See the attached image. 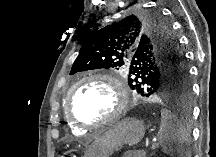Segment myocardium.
Wrapping results in <instances>:
<instances>
[{
	"label": "myocardium",
	"instance_id": "f54148a6",
	"mask_svg": "<svg viewBox=\"0 0 216 157\" xmlns=\"http://www.w3.org/2000/svg\"><path fill=\"white\" fill-rule=\"evenodd\" d=\"M89 81H100L109 85L115 92V106L113 111L99 121L85 122L77 118L72 112V94L81 84ZM129 103L128 91L125 84L116 76L107 73H91L77 80L69 89L66 98V114L69 121L82 128H91L102 125H109L117 121L126 111Z\"/></svg>",
	"mask_w": 216,
	"mask_h": 157
}]
</instances>
